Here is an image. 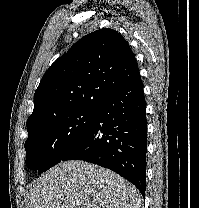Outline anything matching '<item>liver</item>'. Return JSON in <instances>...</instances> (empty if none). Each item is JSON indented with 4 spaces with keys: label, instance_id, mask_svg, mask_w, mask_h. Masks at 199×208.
<instances>
[{
    "label": "liver",
    "instance_id": "obj_1",
    "mask_svg": "<svg viewBox=\"0 0 199 208\" xmlns=\"http://www.w3.org/2000/svg\"><path fill=\"white\" fill-rule=\"evenodd\" d=\"M28 208H139L138 189L118 174L84 161H65L30 189Z\"/></svg>",
    "mask_w": 199,
    "mask_h": 208
}]
</instances>
